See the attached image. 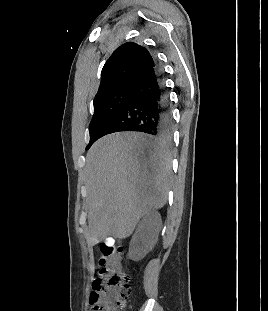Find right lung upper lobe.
Listing matches in <instances>:
<instances>
[{
  "instance_id": "right-lung-upper-lobe-1",
  "label": "right lung upper lobe",
  "mask_w": 268,
  "mask_h": 311,
  "mask_svg": "<svg viewBox=\"0 0 268 311\" xmlns=\"http://www.w3.org/2000/svg\"><path fill=\"white\" fill-rule=\"evenodd\" d=\"M149 51L134 43L127 42L118 47L105 63L101 72V83L95 99L139 79L154 67Z\"/></svg>"
}]
</instances>
